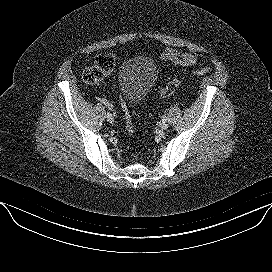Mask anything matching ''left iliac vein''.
<instances>
[{
    "mask_svg": "<svg viewBox=\"0 0 272 272\" xmlns=\"http://www.w3.org/2000/svg\"><path fill=\"white\" fill-rule=\"evenodd\" d=\"M159 127L162 129V130H167L168 127H169V124L167 121H162L160 124H159Z\"/></svg>",
    "mask_w": 272,
    "mask_h": 272,
    "instance_id": "left-iliac-vein-1",
    "label": "left iliac vein"
}]
</instances>
